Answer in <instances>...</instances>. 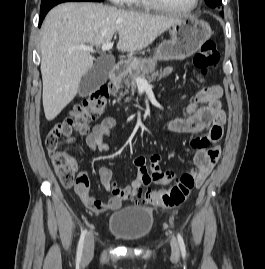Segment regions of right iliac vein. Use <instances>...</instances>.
Instances as JSON below:
<instances>
[{
	"label": "right iliac vein",
	"instance_id": "63e3f726",
	"mask_svg": "<svg viewBox=\"0 0 265 269\" xmlns=\"http://www.w3.org/2000/svg\"><path fill=\"white\" fill-rule=\"evenodd\" d=\"M94 253V235L89 234L86 237L85 243H84V248H83V254H82V259L84 262L90 260L93 256Z\"/></svg>",
	"mask_w": 265,
	"mask_h": 269
}]
</instances>
